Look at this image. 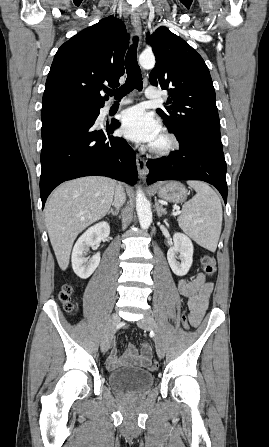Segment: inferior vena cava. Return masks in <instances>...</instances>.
I'll return each mask as SVG.
<instances>
[{"mask_svg": "<svg viewBox=\"0 0 269 447\" xmlns=\"http://www.w3.org/2000/svg\"><path fill=\"white\" fill-rule=\"evenodd\" d=\"M125 202L126 196L123 192L122 186H116L113 206H115V208H119V206H123Z\"/></svg>", "mask_w": 269, "mask_h": 447, "instance_id": "602c4592", "label": "inferior vena cava"}]
</instances>
